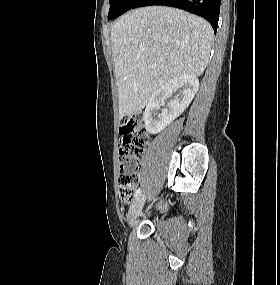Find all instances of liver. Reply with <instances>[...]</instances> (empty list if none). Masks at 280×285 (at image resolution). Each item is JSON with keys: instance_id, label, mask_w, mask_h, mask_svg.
I'll list each match as a JSON object with an SVG mask.
<instances>
[{"instance_id": "liver-1", "label": "liver", "mask_w": 280, "mask_h": 285, "mask_svg": "<svg viewBox=\"0 0 280 285\" xmlns=\"http://www.w3.org/2000/svg\"><path fill=\"white\" fill-rule=\"evenodd\" d=\"M120 118L142 110L164 84L185 74L200 76L213 29L204 19L169 7H145L122 15L111 30Z\"/></svg>"}]
</instances>
